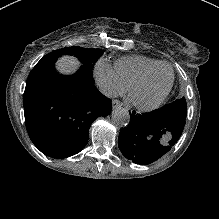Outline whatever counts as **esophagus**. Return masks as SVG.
<instances>
[{
  "label": "esophagus",
  "mask_w": 219,
  "mask_h": 219,
  "mask_svg": "<svg viewBox=\"0 0 219 219\" xmlns=\"http://www.w3.org/2000/svg\"><path fill=\"white\" fill-rule=\"evenodd\" d=\"M121 105H122V103L119 100H116V99L112 100L113 109H115V108H117L118 106H121Z\"/></svg>",
  "instance_id": "34e87169"
}]
</instances>
